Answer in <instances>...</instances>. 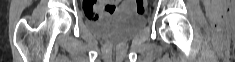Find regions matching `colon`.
Masks as SVG:
<instances>
[{
  "label": "colon",
  "mask_w": 235,
  "mask_h": 62,
  "mask_svg": "<svg viewBox=\"0 0 235 62\" xmlns=\"http://www.w3.org/2000/svg\"><path fill=\"white\" fill-rule=\"evenodd\" d=\"M105 1H99L96 3V6H90L86 8V13L91 18H97L103 15H106V8L101 4ZM137 10L139 12H144L146 9V2L144 0H136Z\"/></svg>",
  "instance_id": "1"
}]
</instances>
